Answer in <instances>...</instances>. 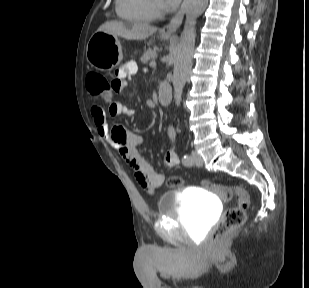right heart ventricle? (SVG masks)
<instances>
[{"mask_svg": "<svg viewBox=\"0 0 309 288\" xmlns=\"http://www.w3.org/2000/svg\"><path fill=\"white\" fill-rule=\"evenodd\" d=\"M118 15L130 22L146 23L159 15L157 0H115Z\"/></svg>", "mask_w": 309, "mask_h": 288, "instance_id": "obj_1", "label": "right heart ventricle"}]
</instances>
